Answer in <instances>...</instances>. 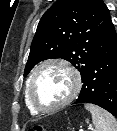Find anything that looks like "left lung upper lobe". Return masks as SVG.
Masks as SVG:
<instances>
[{"label":"left lung upper lobe","instance_id":"left-lung-upper-lobe-1","mask_svg":"<svg viewBox=\"0 0 117 131\" xmlns=\"http://www.w3.org/2000/svg\"><path fill=\"white\" fill-rule=\"evenodd\" d=\"M112 21L103 0H57L42 16L24 75L40 61L62 58L84 77L108 41Z\"/></svg>","mask_w":117,"mask_h":131}]
</instances>
